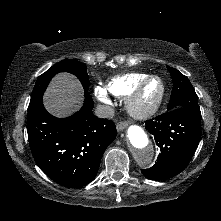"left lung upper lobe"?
I'll return each instance as SVG.
<instances>
[{"instance_id": "5c2ea615", "label": "left lung upper lobe", "mask_w": 221, "mask_h": 221, "mask_svg": "<svg viewBox=\"0 0 221 221\" xmlns=\"http://www.w3.org/2000/svg\"><path fill=\"white\" fill-rule=\"evenodd\" d=\"M173 80V88L167 110L185 108L195 115L201 116L198 96L189 79L178 70L167 66Z\"/></svg>"}]
</instances>
